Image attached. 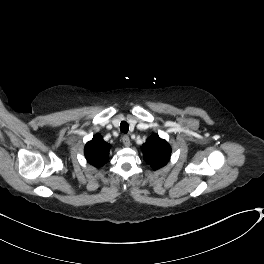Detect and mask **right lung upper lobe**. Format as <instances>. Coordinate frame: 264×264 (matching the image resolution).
<instances>
[{
    "instance_id": "obj_1",
    "label": "right lung upper lobe",
    "mask_w": 264,
    "mask_h": 264,
    "mask_svg": "<svg viewBox=\"0 0 264 264\" xmlns=\"http://www.w3.org/2000/svg\"><path fill=\"white\" fill-rule=\"evenodd\" d=\"M111 146L107 144L100 134H96L89 141L84 149V154L87 161L95 167L104 165L108 160V153Z\"/></svg>"
}]
</instances>
